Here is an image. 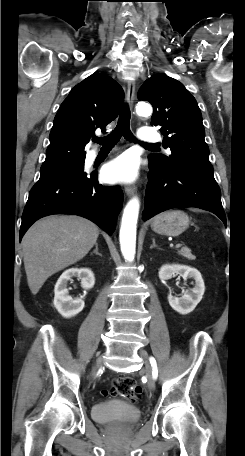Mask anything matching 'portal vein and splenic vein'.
<instances>
[{
    "instance_id": "1",
    "label": "portal vein and splenic vein",
    "mask_w": 245,
    "mask_h": 456,
    "mask_svg": "<svg viewBox=\"0 0 245 456\" xmlns=\"http://www.w3.org/2000/svg\"><path fill=\"white\" fill-rule=\"evenodd\" d=\"M170 247L179 248V247H181V244H180V243H177V244H170Z\"/></svg>"
}]
</instances>
